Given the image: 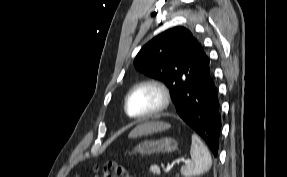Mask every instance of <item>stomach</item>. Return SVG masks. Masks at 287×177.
<instances>
[{"mask_svg":"<svg viewBox=\"0 0 287 177\" xmlns=\"http://www.w3.org/2000/svg\"><path fill=\"white\" fill-rule=\"evenodd\" d=\"M177 147L178 144L176 140L166 137L159 140H146L141 142L134 148V152L150 155L159 152H172L176 150Z\"/></svg>","mask_w":287,"mask_h":177,"instance_id":"1","label":"stomach"}]
</instances>
